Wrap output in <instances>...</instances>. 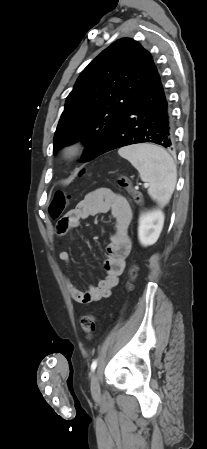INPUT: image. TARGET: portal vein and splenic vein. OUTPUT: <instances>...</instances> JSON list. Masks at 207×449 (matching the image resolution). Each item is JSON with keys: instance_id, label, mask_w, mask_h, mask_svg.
Wrapping results in <instances>:
<instances>
[{"instance_id": "portal-vein-and-splenic-vein-1", "label": "portal vein and splenic vein", "mask_w": 207, "mask_h": 449, "mask_svg": "<svg viewBox=\"0 0 207 449\" xmlns=\"http://www.w3.org/2000/svg\"><path fill=\"white\" fill-rule=\"evenodd\" d=\"M148 186H149V184H148V183H145V184H144V187H145V188H147Z\"/></svg>"}]
</instances>
